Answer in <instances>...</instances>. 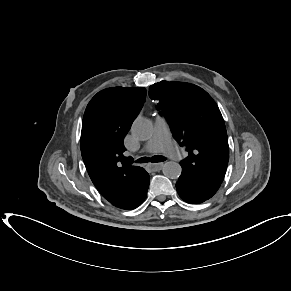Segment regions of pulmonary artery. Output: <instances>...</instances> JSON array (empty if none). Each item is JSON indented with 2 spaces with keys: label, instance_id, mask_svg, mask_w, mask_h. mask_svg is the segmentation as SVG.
Masks as SVG:
<instances>
[{
  "label": "pulmonary artery",
  "instance_id": "1",
  "mask_svg": "<svg viewBox=\"0 0 291 291\" xmlns=\"http://www.w3.org/2000/svg\"><path fill=\"white\" fill-rule=\"evenodd\" d=\"M145 151L149 153L163 152L174 160L181 157V152L173 143L168 123L163 116H155L154 131L145 145Z\"/></svg>",
  "mask_w": 291,
  "mask_h": 291
}]
</instances>
